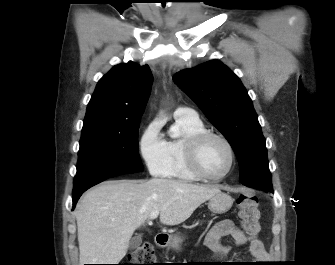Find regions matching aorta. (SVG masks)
<instances>
[{
  "mask_svg": "<svg viewBox=\"0 0 335 265\" xmlns=\"http://www.w3.org/2000/svg\"><path fill=\"white\" fill-rule=\"evenodd\" d=\"M170 135H171L172 137H177V134H176L174 131H170Z\"/></svg>",
  "mask_w": 335,
  "mask_h": 265,
  "instance_id": "1",
  "label": "aorta"
}]
</instances>
